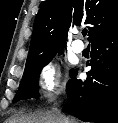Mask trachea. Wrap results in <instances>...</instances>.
<instances>
[{
	"mask_svg": "<svg viewBox=\"0 0 118 123\" xmlns=\"http://www.w3.org/2000/svg\"><path fill=\"white\" fill-rule=\"evenodd\" d=\"M82 35L86 36L87 35V30L82 31Z\"/></svg>",
	"mask_w": 118,
	"mask_h": 123,
	"instance_id": "obj_1",
	"label": "trachea"
}]
</instances>
